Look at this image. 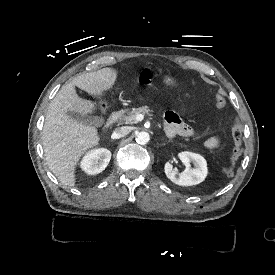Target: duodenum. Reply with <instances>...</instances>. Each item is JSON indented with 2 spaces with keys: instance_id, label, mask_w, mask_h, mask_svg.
Returning <instances> with one entry per match:
<instances>
[{
  "instance_id": "410a0bca",
  "label": "duodenum",
  "mask_w": 275,
  "mask_h": 275,
  "mask_svg": "<svg viewBox=\"0 0 275 275\" xmlns=\"http://www.w3.org/2000/svg\"><path fill=\"white\" fill-rule=\"evenodd\" d=\"M122 112L121 111H115L113 112L107 119V121L105 122L104 126H103V131L107 132L110 129H112V127L115 125V123L117 122V120L121 117Z\"/></svg>"
}]
</instances>
